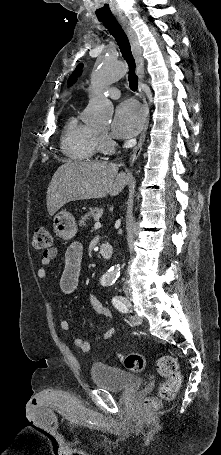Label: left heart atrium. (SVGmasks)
Here are the masks:
<instances>
[{
	"instance_id": "left-heart-atrium-1",
	"label": "left heart atrium",
	"mask_w": 221,
	"mask_h": 455,
	"mask_svg": "<svg viewBox=\"0 0 221 455\" xmlns=\"http://www.w3.org/2000/svg\"><path fill=\"white\" fill-rule=\"evenodd\" d=\"M144 113L133 101L121 103L114 113L112 135L116 138H129L136 135L142 128Z\"/></svg>"
}]
</instances>
